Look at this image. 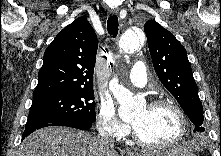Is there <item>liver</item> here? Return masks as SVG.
I'll use <instances>...</instances> for the list:
<instances>
[{
  "instance_id": "obj_1",
  "label": "liver",
  "mask_w": 221,
  "mask_h": 156,
  "mask_svg": "<svg viewBox=\"0 0 221 156\" xmlns=\"http://www.w3.org/2000/svg\"><path fill=\"white\" fill-rule=\"evenodd\" d=\"M196 150L194 145H186ZM19 156H118L113 147H104L89 133L63 128L47 127L35 131L21 144Z\"/></svg>"
}]
</instances>
